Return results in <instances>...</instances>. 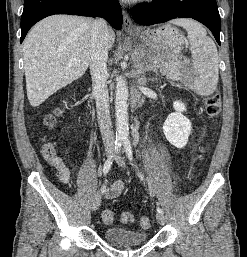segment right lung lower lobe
Listing matches in <instances>:
<instances>
[{
	"mask_svg": "<svg viewBox=\"0 0 247 257\" xmlns=\"http://www.w3.org/2000/svg\"><path fill=\"white\" fill-rule=\"evenodd\" d=\"M53 14L102 17L113 28L122 27V10L117 0H25L20 43L36 22Z\"/></svg>",
	"mask_w": 247,
	"mask_h": 257,
	"instance_id": "1",
	"label": "right lung lower lobe"
}]
</instances>
